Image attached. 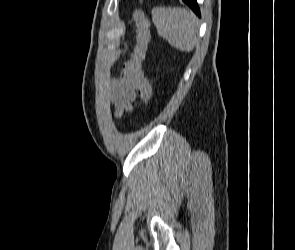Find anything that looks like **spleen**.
I'll list each match as a JSON object with an SVG mask.
<instances>
[{
	"label": "spleen",
	"mask_w": 295,
	"mask_h": 250,
	"mask_svg": "<svg viewBox=\"0 0 295 250\" xmlns=\"http://www.w3.org/2000/svg\"><path fill=\"white\" fill-rule=\"evenodd\" d=\"M152 20L160 37L180 51H192L198 40L197 18L178 7H155Z\"/></svg>",
	"instance_id": "1"
}]
</instances>
